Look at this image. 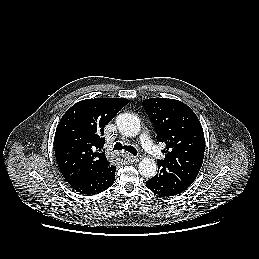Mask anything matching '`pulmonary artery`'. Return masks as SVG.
Here are the masks:
<instances>
[{"instance_id":"e3ab8cb5","label":"pulmonary artery","mask_w":259,"mask_h":259,"mask_svg":"<svg viewBox=\"0 0 259 259\" xmlns=\"http://www.w3.org/2000/svg\"><path fill=\"white\" fill-rule=\"evenodd\" d=\"M141 144L145 151L151 155L152 157H156L160 155V151L157 147L152 143L147 133H143L140 137Z\"/></svg>"}]
</instances>
